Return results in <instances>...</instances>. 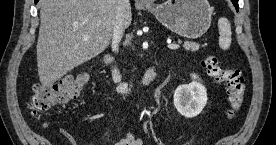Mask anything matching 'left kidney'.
Instances as JSON below:
<instances>
[{
	"label": "left kidney",
	"mask_w": 276,
	"mask_h": 145,
	"mask_svg": "<svg viewBox=\"0 0 276 145\" xmlns=\"http://www.w3.org/2000/svg\"><path fill=\"white\" fill-rule=\"evenodd\" d=\"M192 82L180 85L174 93V105L177 111L186 118L199 115L207 104L206 88L196 74H191Z\"/></svg>",
	"instance_id": "obj_1"
}]
</instances>
